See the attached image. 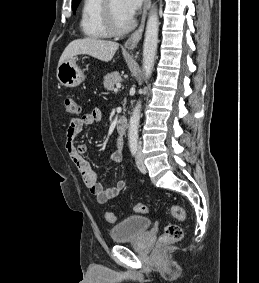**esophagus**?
Instances as JSON below:
<instances>
[{
  "label": "esophagus",
  "instance_id": "1",
  "mask_svg": "<svg viewBox=\"0 0 259 283\" xmlns=\"http://www.w3.org/2000/svg\"><path fill=\"white\" fill-rule=\"evenodd\" d=\"M150 7H151V0H144L141 23H140L138 29L135 32H133L130 35V37L126 40L125 47L127 49H129V50L135 49L138 42L140 41V39L142 37L143 30H144V26H145V20H146L147 12L150 9Z\"/></svg>",
  "mask_w": 259,
  "mask_h": 283
}]
</instances>
